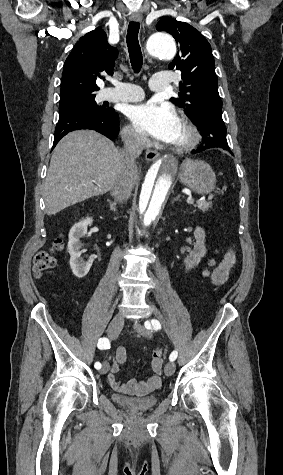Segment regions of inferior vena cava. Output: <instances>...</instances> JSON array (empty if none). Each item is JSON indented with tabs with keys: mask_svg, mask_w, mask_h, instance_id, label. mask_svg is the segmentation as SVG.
I'll return each instance as SVG.
<instances>
[{
	"mask_svg": "<svg viewBox=\"0 0 283 475\" xmlns=\"http://www.w3.org/2000/svg\"><path fill=\"white\" fill-rule=\"evenodd\" d=\"M147 134L145 132H128L124 140V148L119 160L120 168L117 170L114 184L111 188V196L115 200H128L132 192L134 180L137 176L136 160L142 154L147 144Z\"/></svg>",
	"mask_w": 283,
	"mask_h": 475,
	"instance_id": "obj_1",
	"label": "inferior vena cava"
}]
</instances>
